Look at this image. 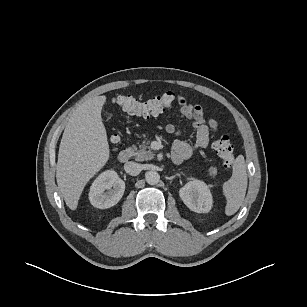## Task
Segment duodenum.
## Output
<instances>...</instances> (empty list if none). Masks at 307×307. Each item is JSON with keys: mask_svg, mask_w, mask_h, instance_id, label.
Returning <instances> with one entry per match:
<instances>
[{"mask_svg": "<svg viewBox=\"0 0 307 307\" xmlns=\"http://www.w3.org/2000/svg\"><path fill=\"white\" fill-rule=\"evenodd\" d=\"M132 156V151L129 149L122 150L118 155V160L121 163H126Z\"/></svg>", "mask_w": 307, "mask_h": 307, "instance_id": "duodenum-1", "label": "duodenum"}]
</instances>
